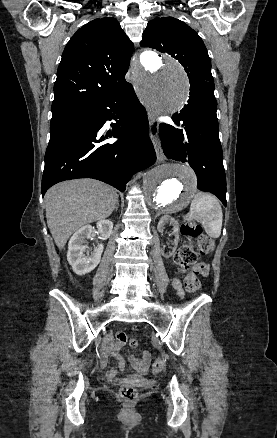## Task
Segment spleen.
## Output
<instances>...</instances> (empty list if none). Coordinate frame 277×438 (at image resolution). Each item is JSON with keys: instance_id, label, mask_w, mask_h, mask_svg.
I'll list each match as a JSON object with an SVG mask.
<instances>
[{"instance_id": "3e777b00", "label": "spleen", "mask_w": 277, "mask_h": 438, "mask_svg": "<svg viewBox=\"0 0 277 438\" xmlns=\"http://www.w3.org/2000/svg\"><path fill=\"white\" fill-rule=\"evenodd\" d=\"M190 214L194 220L201 222L206 234L211 238H219L222 228V208L214 196L199 192L193 198L190 206Z\"/></svg>"}]
</instances>
